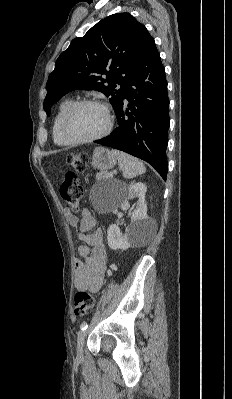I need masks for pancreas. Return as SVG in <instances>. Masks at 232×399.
I'll list each match as a JSON object with an SVG mask.
<instances>
[{
  "mask_svg": "<svg viewBox=\"0 0 232 399\" xmlns=\"http://www.w3.org/2000/svg\"><path fill=\"white\" fill-rule=\"evenodd\" d=\"M104 178H112V176H107V172H98L96 180H104Z\"/></svg>",
  "mask_w": 232,
  "mask_h": 399,
  "instance_id": "pancreas-1",
  "label": "pancreas"
}]
</instances>
